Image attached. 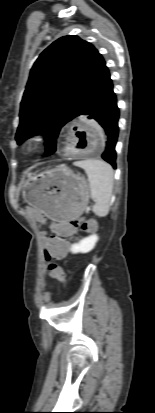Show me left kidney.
I'll use <instances>...</instances> for the list:
<instances>
[{
	"instance_id": "obj_1",
	"label": "left kidney",
	"mask_w": 155,
	"mask_h": 413,
	"mask_svg": "<svg viewBox=\"0 0 155 413\" xmlns=\"http://www.w3.org/2000/svg\"><path fill=\"white\" fill-rule=\"evenodd\" d=\"M98 241V236L93 234L82 239L79 243L73 244L70 248L72 253H88L90 252L96 245Z\"/></svg>"
}]
</instances>
